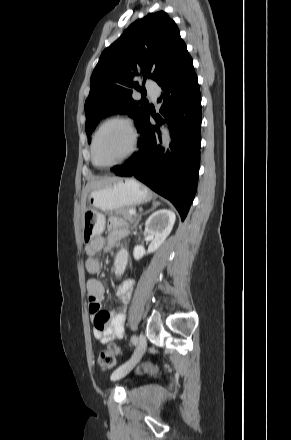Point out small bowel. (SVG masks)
I'll return each mask as SVG.
<instances>
[{
    "label": "small bowel",
    "instance_id": "obj_1",
    "mask_svg": "<svg viewBox=\"0 0 291 440\" xmlns=\"http://www.w3.org/2000/svg\"><path fill=\"white\" fill-rule=\"evenodd\" d=\"M128 226L125 222L112 219L109 223L107 237L99 236L86 246L85 267L89 272L96 273L100 270V261L97 255L117 246L127 235ZM86 289L90 300L89 311L93 316L94 337L104 345L112 339H119L123 333V323L126 317L127 306L132 298L133 281L124 280L116 287V295L120 299V305L108 312L101 310L100 302L105 294V289L98 279H90L86 283ZM107 319L105 323L103 320ZM143 369L156 372L159 366L156 363L143 366Z\"/></svg>",
    "mask_w": 291,
    "mask_h": 440
}]
</instances>
